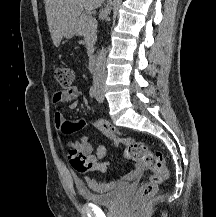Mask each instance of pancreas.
<instances>
[{"label":"pancreas","mask_w":216,"mask_h":217,"mask_svg":"<svg viewBox=\"0 0 216 217\" xmlns=\"http://www.w3.org/2000/svg\"><path fill=\"white\" fill-rule=\"evenodd\" d=\"M96 28V20L87 14H81L75 22V33L78 36L84 37L89 56L93 53V46L97 38Z\"/></svg>","instance_id":"1"}]
</instances>
